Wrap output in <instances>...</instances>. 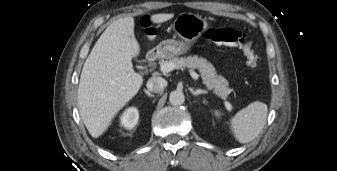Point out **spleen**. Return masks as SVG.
Wrapping results in <instances>:
<instances>
[{"instance_id": "1", "label": "spleen", "mask_w": 337, "mask_h": 171, "mask_svg": "<svg viewBox=\"0 0 337 171\" xmlns=\"http://www.w3.org/2000/svg\"><path fill=\"white\" fill-rule=\"evenodd\" d=\"M268 107L255 101L240 110L230 120V128L235 139L242 144L254 140L262 131L267 119Z\"/></svg>"}]
</instances>
